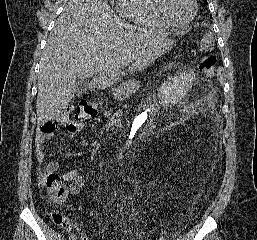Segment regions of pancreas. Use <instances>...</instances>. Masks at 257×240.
Returning <instances> with one entry per match:
<instances>
[{
	"label": "pancreas",
	"mask_w": 257,
	"mask_h": 240,
	"mask_svg": "<svg viewBox=\"0 0 257 240\" xmlns=\"http://www.w3.org/2000/svg\"><path fill=\"white\" fill-rule=\"evenodd\" d=\"M136 87H138V84L136 81H130L127 84L115 87L112 89L113 97L118 100H123L124 98L129 97L134 92V89Z\"/></svg>",
	"instance_id": "cf45deb5"
}]
</instances>
